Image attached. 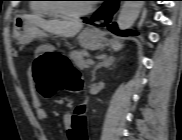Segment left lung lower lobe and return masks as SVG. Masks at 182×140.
<instances>
[{"instance_id": "left-lung-lower-lobe-1", "label": "left lung lower lobe", "mask_w": 182, "mask_h": 140, "mask_svg": "<svg viewBox=\"0 0 182 140\" xmlns=\"http://www.w3.org/2000/svg\"><path fill=\"white\" fill-rule=\"evenodd\" d=\"M118 1L119 0H105L101 9L96 12V16H98L101 19H105L107 23V28L115 34L123 36L136 35L137 33L132 31H119L116 23L108 24L111 20L112 15L118 8ZM84 22L92 24V20H85Z\"/></svg>"}]
</instances>
